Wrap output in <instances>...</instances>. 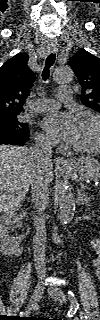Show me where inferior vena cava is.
I'll return each mask as SVG.
<instances>
[{"label": "inferior vena cava", "mask_w": 100, "mask_h": 320, "mask_svg": "<svg viewBox=\"0 0 100 320\" xmlns=\"http://www.w3.org/2000/svg\"><path fill=\"white\" fill-rule=\"evenodd\" d=\"M30 152L37 162L36 172L31 178L32 201L37 211V216L34 219L36 229V234L33 238L34 262L37 276L42 280L46 277V228L42 213L50 203L49 181L47 180L44 166L51 163V142L45 138H37L35 147L31 148Z\"/></svg>", "instance_id": "obj_1"}]
</instances>
